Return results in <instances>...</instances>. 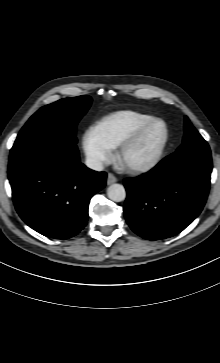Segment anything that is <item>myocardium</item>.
Here are the masks:
<instances>
[{
    "label": "myocardium",
    "mask_w": 220,
    "mask_h": 363,
    "mask_svg": "<svg viewBox=\"0 0 220 363\" xmlns=\"http://www.w3.org/2000/svg\"><path fill=\"white\" fill-rule=\"evenodd\" d=\"M161 123L164 127V135L159 143L157 149L154 154L146 161L125 165L123 163L124 155L143 137V135L155 124ZM169 128L167 123L160 118H153L152 120L146 122L145 124L138 127L135 131H133L128 137H126L117 147L116 150V160L121 163L128 171L132 173H145L152 169H154L161 161L164 152L166 150L167 144L169 142Z\"/></svg>",
    "instance_id": "obj_1"
}]
</instances>
